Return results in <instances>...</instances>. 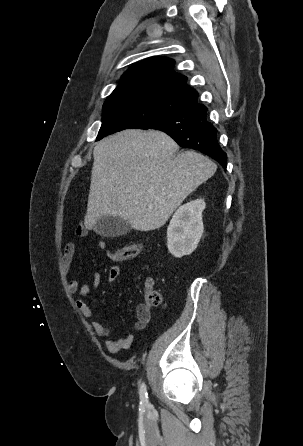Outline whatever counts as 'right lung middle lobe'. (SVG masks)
Returning <instances> with one entry per match:
<instances>
[{
    "mask_svg": "<svg viewBox=\"0 0 303 446\" xmlns=\"http://www.w3.org/2000/svg\"><path fill=\"white\" fill-rule=\"evenodd\" d=\"M185 100L172 101L166 110H153L143 106L109 105L103 107L102 126L97 140L130 128H140L147 122L184 107Z\"/></svg>",
    "mask_w": 303,
    "mask_h": 446,
    "instance_id": "1",
    "label": "right lung middle lobe"
}]
</instances>
